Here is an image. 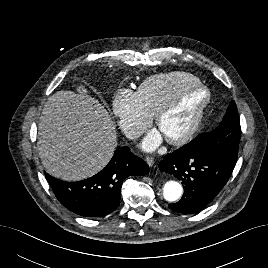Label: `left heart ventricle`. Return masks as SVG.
<instances>
[{"label":"left heart ventricle","mask_w":268,"mask_h":268,"mask_svg":"<svg viewBox=\"0 0 268 268\" xmlns=\"http://www.w3.org/2000/svg\"><path fill=\"white\" fill-rule=\"evenodd\" d=\"M201 94L195 90L184 93L177 107L160 123L159 130L164 137H175L181 134L193 119Z\"/></svg>","instance_id":"left-heart-ventricle-1"}]
</instances>
